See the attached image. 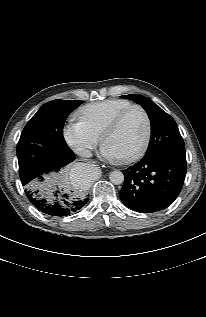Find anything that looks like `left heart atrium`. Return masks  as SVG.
Returning <instances> with one entry per match:
<instances>
[{
    "label": "left heart atrium",
    "instance_id": "39dd6f15",
    "mask_svg": "<svg viewBox=\"0 0 206 317\" xmlns=\"http://www.w3.org/2000/svg\"><path fill=\"white\" fill-rule=\"evenodd\" d=\"M101 155L108 160H116L120 158L115 151L105 144L101 148Z\"/></svg>",
    "mask_w": 206,
    "mask_h": 317
}]
</instances>
